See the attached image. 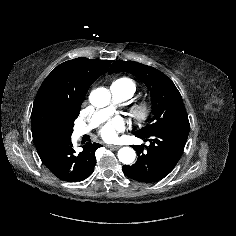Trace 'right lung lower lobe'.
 Here are the masks:
<instances>
[{
  "mask_svg": "<svg viewBox=\"0 0 236 236\" xmlns=\"http://www.w3.org/2000/svg\"><path fill=\"white\" fill-rule=\"evenodd\" d=\"M33 141L46 168L57 178L67 182L82 181L93 173L95 151L101 146L88 142L82 146L83 151L77 154L70 137L34 135Z\"/></svg>",
  "mask_w": 236,
  "mask_h": 236,
  "instance_id": "right-lung-lower-lobe-1",
  "label": "right lung lower lobe"
}]
</instances>
